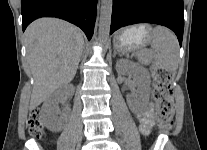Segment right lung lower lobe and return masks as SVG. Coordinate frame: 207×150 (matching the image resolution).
Returning <instances> with one entry per match:
<instances>
[{"instance_id": "1", "label": "right lung lower lobe", "mask_w": 207, "mask_h": 150, "mask_svg": "<svg viewBox=\"0 0 207 150\" xmlns=\"http://www.w3.org/2000/svg\"><path fill=\"white\" fill-rule=\"evenodd\" d=\"M97 0H22L23 31L35 19L57 17L79 26L91 39L96 18Z\"/></svg>"}]
</instances>
